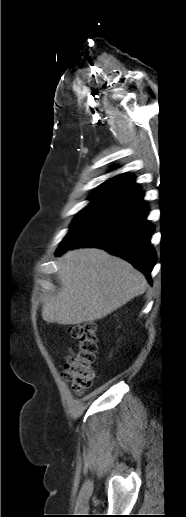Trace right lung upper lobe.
Returning a JSON list of instances; mask_svg holds the SVG:
<instances>
[{
	"mask_svg": "<svg viewBox=\"0 0 186 517\" xmlns=\"http://www.w3.org/2000/svg\"><path fill=\"white\" fill-rule=\"evenodd\" d=\"M131 175L120 174L102 183L94 190L90 198L118 203L140 191Z\"/></svg>",
	"mask_w": 186,
	"mask_h": 517,
	"instance_id": "1",
	"label": "right lung upper lobe"
}]
</instances>
